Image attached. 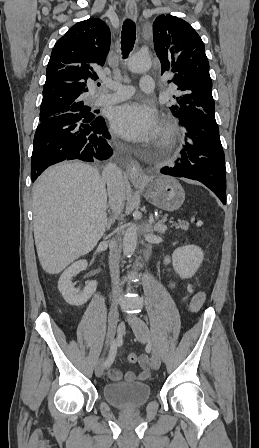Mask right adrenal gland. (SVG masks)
Returning <instances> with one entry per match:
<instances>
[{
  "instance_id": "1",
  "label": "right adrenal gland",
  "mask_w": 259,
  "mask_h": 448,
  "mask_svg": "<svg viewBox=\"0 0 259 448\" xmlns=\"http://www.w3.org/2000/svg\"><path fill=\"white\" fill-rule=\"evenodd\" d=\"M114 220L115 218H109V220H107V228H105V230H110L112 224H114Z\"/></svg>"
}]
</instances>
